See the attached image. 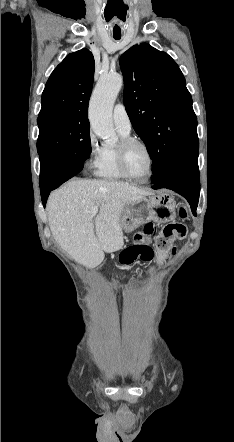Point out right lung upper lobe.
Masks as SVG:
<instances>
[{"label": "right lung upper lobe", "instance_id": "obj_1", "mask_svg": "<svg viewBox=\"0 0 234 442\" xmlns=\"http://www.w3.org/2000/svg\"><path fill=\"white\" fill-rule=\"evenodd\" d=\"M94 64V57L87 49L67 55L45 85L39 117L54 114L87 116Z\"/></svg>", "mask_w": 234, "mask_h": 442}]
</instances>
